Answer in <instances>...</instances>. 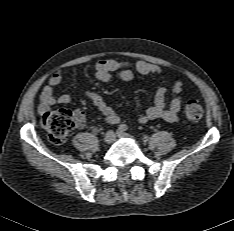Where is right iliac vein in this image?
I'll return each instance as SVG.
<instances>
[{
	"label": "right iliac vein",
	"mask_w": 234,
	"mask_h": 231,
	"mask_svg": "<svg viewBox=\"0 0 234 231\" xmlns=\"http://www.w3.org/2000/svg\"><path fill=\"white\" fill-rule=\"evenodd\" d=\"M116 134L113 131H108L104 136V141L107 144H111L114 142Z\"/></svg>",
	"instance_id": "right-iliac-vein-1"
}]
</instances>
